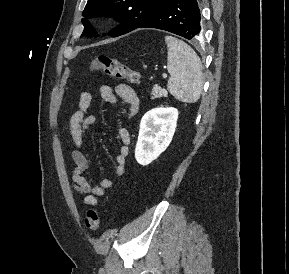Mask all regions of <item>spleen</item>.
I'll return each instance as SVG.
<instances>
[{
    "instance_id": "spleen-1",
    "label": "spleen",
    "mask_w": 289,
    "mask_h": 274,
    "mask_svg": "<svg viewBox=\"0 0 289 274\" xmlns=\"http://www.w3.org/2000/svg\"><path fill=\"white\" fill-rule=\"evenodd\" d=\"M168 48L167 70L170 74L167 88L179 101L196 102L203 88V73L200 58L185 42L166 36Z\"/></svg>"
}]
</instances>
